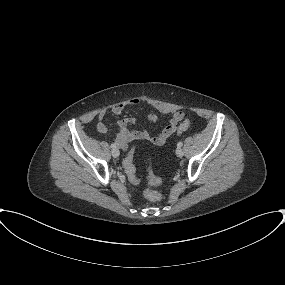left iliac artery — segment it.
Masks as SVG:
<instances>
[{
  "instance_id": "1",
  "label": "left iliac artery",
  "mask_w": 285,
  "mask_h": 285,
  "mask_svg": "<svg viewBox=\"0 0 285 285\" xmlns=\"http://www.w3.org/2000/svg\"><path fill=\"white\" fill-rule=\"evenodd\" d=\"M182 145H183V143L180 141V142H178L177 147H178V148H181Z\"/></svg>"
}]
</instances>
